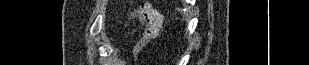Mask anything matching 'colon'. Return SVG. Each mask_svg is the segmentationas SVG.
<instances>
[{
	"instance_id": "obj_1",
	"label": "colon",
	"mask_w": 309,
	"mask_h": 65,
	"mask_svg": "<svg viewBox=\"0 0 309 65\" xmlns=\"http://www.w3.org/2000/svg\"><path fill=\"white\" fill-rule=\"evenodd\" d=\"M134 19L144 23L145 28L141 36L135 41L132 47V53L135 57L142 49L153 39H155L160 31L162 19L161 16L152 10L146 3L135 6L132 10Z\"/></svg>"
}]
</instances>
